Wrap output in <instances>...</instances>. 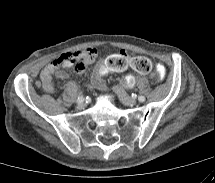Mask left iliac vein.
I'll return each mask as SVG.
<instances>
[{
	"label": "left iliac vein",
	"instance_id": "left-iliac-vein-1",
	"mask_svg": "<svg viewBox=\"0 0 215 183\" xmlns=\"http://www.w3.org/2000/svg\"><path fill=\"white\" fill-rule=\"evenodd\" d=\"M112 90L120 97L121 101L125 105H135L136 104V99L129 96L122 87L113 86Z\"/></svg>",
	"mask_w": 215,
	"mask_h": 183
}]
</instances>
